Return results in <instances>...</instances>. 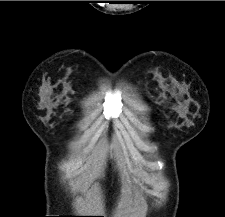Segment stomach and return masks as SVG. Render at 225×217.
I'll return each mask as SVG.
<instances>
[{
  "instance_id": "0dacf381",
  "label": "stomach",
  "mask_w": 225,
  "mask_h": 217,
  "mask_svg": "<svg viewBox=\"0 0 225 217\" xmlns=\"http://www.w3.org/2000/svg\"><path fill=\"white\" fill-rule=\"evenodd\" d=\"M140 180L139 179H136V182H139Z\"/></svg>"
}]
</instances>
